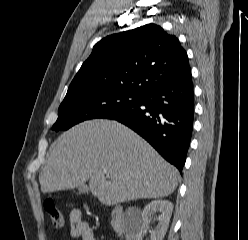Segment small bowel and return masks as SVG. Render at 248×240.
<instances>
[{
	"label": "small bowel",
	"mask_w": 248,
	"mask_h": 240,
	"mask_svg": "<svg viewBox=\"0 0 248 240\" xmlns=\"http://www.w3.org/2000/svg\"><path fill=\"white\" fill-rule=\"evenodd\" d=\"M70 234L73 238L81 240H96L90 223L82 218L77 209L70 213Z\"/></svg>",
	"instance_id": "c3829d8e"
}]
</instances>
